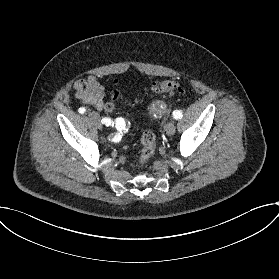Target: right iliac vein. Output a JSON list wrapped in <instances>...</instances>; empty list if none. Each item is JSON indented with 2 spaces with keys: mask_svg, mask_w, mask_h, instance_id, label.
Masks as SVG:
<instances>
[{
  "mask_svg": "<svg viewBox=\"0 0 279 279\" xmlns=\"http://www.w3.org/2000/svg\"><path fill=\"white\" fill-rule=\"evenodd\" d=\"M89 116L97 122L98 128L102 129L98 113L93 111L89 114Z\"/></svg>",
  "mask_w": 279,
  "mask_h": 279,
  "instance_id": "obj_1",
  "label": "right iliac vein"
}]
</instances>
